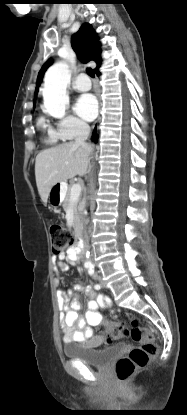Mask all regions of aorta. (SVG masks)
I'll return each instance as SVG.
<instances>
[{
    "instance_id": "obj_1",
    "label": "aorta",
    "mask_w": 187,
    "mask_h": 415,
    "mask_svg": "<svg viewBox=\"0 0 187 415\" xmlns=\"http://www.w3.org/2000/svg\"><path fill=\"white\" fill-rule=\"evenodd\" d=\"M69 67L61 61L52 65L46 72L42 90L45 111L55 117L63 118L69 104L66 93L70 81Z\"/></svg>"
}]
</instances>
